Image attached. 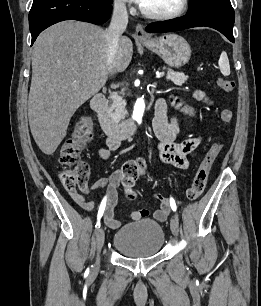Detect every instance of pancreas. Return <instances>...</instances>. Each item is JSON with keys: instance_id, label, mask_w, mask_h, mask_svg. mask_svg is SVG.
<instances>
[{"instance_id": "pancreas-1", "label": "pancreas", "mask_w": 261, "mask_h": 306, "mask_svg": "<svg viewBox=\"0 0 261 306\" xmlns=\"http://www.w3.org/2000/svg\"><path fill=\"white\" fill-rule=\"evenodd\" d=\"M166 78L167 80L172 81L175 85L179 86H181L188 80L187 75L183 73L174 72L172 70H168ZM119 94L123 95L124 91L122 90ZM119 94L117 92H114L109 97L110 99L109 113L111 117L117 121L121 120L126 114L125 100H123V97Z\"/></svg>"}]
</instances>
